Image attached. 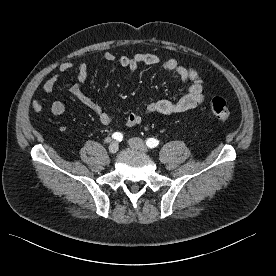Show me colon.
<instances>
[{
	"mask_svg": "<svg viewBox=\"0 0 276 276\" xmlns=\"http://www.w3.org/2000/svg\"><path fill=\"white\" fill-rule=\"evenodd\" d=\"M210 111L214 118L220 121H228L231 111L226 101L221 97H214L210 102Z\"/></svg>",
	"mask_w": 276,
	"mask_h": 276,
	"instance_id": "1",
	"label": "colon"
}]
</instances>
